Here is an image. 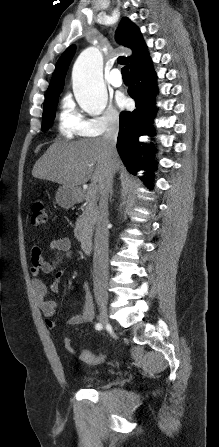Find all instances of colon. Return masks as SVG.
<instances>
[{
  "mask_svg": "<svg viewBox=\"0 0 219 447\" xmlns=\"http://www.w3.org/2000/svg\"><path fill=\"white\" fill-rule=\"evenodd\" d=\"M30 222L33 226H40L46 222L45 203L42 200H34L30 206ZM65 349L73 353L74 347L71 341L64 342ZM104 360L102 355H96L88 351L84 352V361L90 364H99Z\"/></svg>",
  "mask_w": 219,
  "mask_h": 447,
  "instance_id": "1",
  "label": "colon"
}]
</instances>
